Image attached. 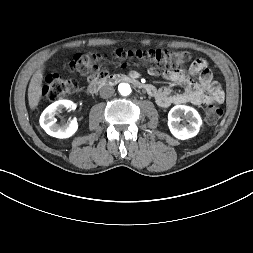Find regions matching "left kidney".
I'll return each instance as SVG.
<instances>
[{"label": "left kidney", "mask_w": 253, "mask_h": 253, "mask_svg": "<svg viewBox=\"0 0 253 253\" xmlns=\"http://www.w3.org/2000/svg\"><path fill=\"white\" fill-rule=\"evenodd\" d=\"M181 117H185L189 124H180ZM201 125L202 119L199 113L190 106L176 105L168 113V127L173 136L180 140L196 136Z\"/></svg>", "instance_id": "obj_1"}]
</instances>
